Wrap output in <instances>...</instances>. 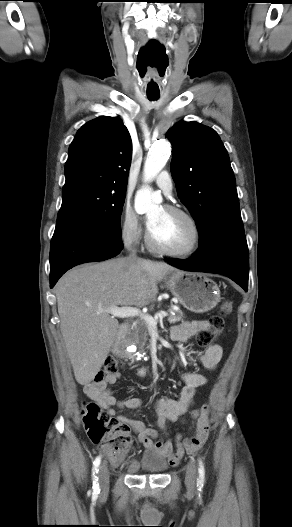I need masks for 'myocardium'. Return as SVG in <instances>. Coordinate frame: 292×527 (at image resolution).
<instances>
[{"mask_svg":"<svg viewBox=\"0 0 292 527\" xmlns=\"http://www.w3.org/2000/svg\"><path fill=\"white\" fill-rule=\"evenodd\" d=\"M163 209L166 210L167 212L182 216L189 222L192 228V232H193L192 241L184 249H181V250L169 249V248H166V247H163L157 244L153 240L150 230L148 229L145 235L146 245L152 251L162 254V255H166V256L177 257V258H187V257L192 256L199 249L201 245V241H202V231H201V228H200V225L197 219L189 211L183 208L177 207V206L166 205L164 206Z\"/></svg>","mask_w":292,"mask_h":527,"instance_id":"1","label":"myocardium"}]
</instances>
